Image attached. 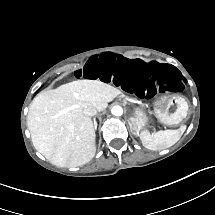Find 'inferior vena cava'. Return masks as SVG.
<instances>
[{"mask_svg":"<svg viewBox=\"0 0 215 215\" xmlns=\"http://www.w3.org/2000/svg\"><path fill=\"white\" fill-rule=\"evenodd\" d=\"M83 113L85 116L92 117V116L96 115L97 110L92 106H86L83 109Z\"/></svg>","mask_w":215,"mask_h":215,"instance_id":"obj_1","label":"inferior vena cava"}]
</instances>
